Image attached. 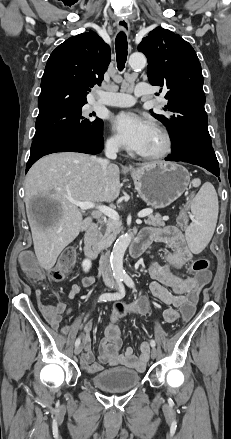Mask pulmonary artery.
I'll return each mask as SVG.
<instances>
[{
	"instance_id": "pulmonary-artery-1",
	"label": "pulmonary artery",
	"mask_w": 231,
	"mask_h": 439,
	"mask_svg": "<svg viewBox=\"0 0 231 439\" xmlns=\"http://www.w3.org/2000/svg\"><path fill=\"white\" fill-rule=\"evenodd\" d=\"M149 94V86L145 83L137 84L134 89V96L124 92L109 91L101 94L98 102L107 106L129 107L134 105L135 97Z\"/></svg>"
}]
</instances>
